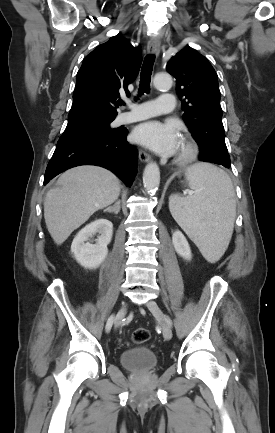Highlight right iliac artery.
I'll return each instance as SVG.
<instances>
[{
    "instance_id": "82829eb1",
    "label": "right iliac artery",
    "mask_w": 275,
    "mask_h": 433,
    "mask_svg": "<svg viewBox=\"0 0 275 433\" xmlns=\"http://www.w3.org/2000/svg\"><path fill=\"white\" fill-rule=\"evenodd\" d=\"M113 321H114V315H111V316L108 318V321H107V324H106V331H107V332L110 331V329H111V327H112V324H113Z\"/></svg>"
}]
</instances>
